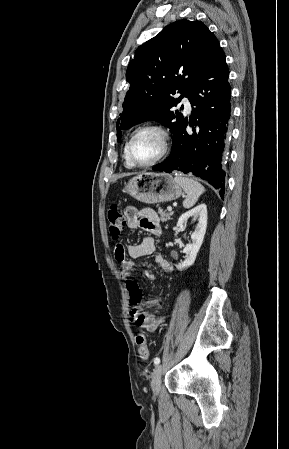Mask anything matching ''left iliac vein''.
<instances>
[{"label": "left iliac vein", "mask_w": 289, "mask_h": 449, "mask_svg": "<svg viewBox=\"0 0 289 449\" xmlns=\"http://www.w3.org/2000/svg\"><path fill=\"white\" fill-rule=\"evenodd\" d=\"M163 365H158L153 374L151 380V388L154 394H158L161 387V377H162Z\"/></svg>", "instance_id": "left-iliac-vein-1"}]
</instances>
